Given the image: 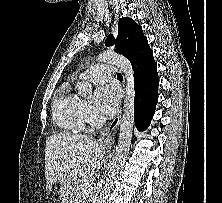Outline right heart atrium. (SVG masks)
Instances as JSON below:
<instances>
[{"label":"right heart atrium","instance_id":"obj_1","mask_svg":"<svg viewBox=\"0 0 222 203\" xmlns=\"http://www.w3.org/2000/svg\"><path fill=\"white\" fill-rule=\"evenodd\" d=\"M84 113H85L86 122H88V123L94 122L96 116H95L94 111L92 110V108L89 105L85 104Z\"/></svg>","mask_w":222,"mask_h":203}]
</instances>
